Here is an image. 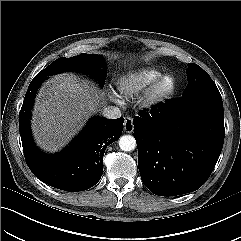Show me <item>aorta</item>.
<instances>
[{
    "instance_id": "1",
    "label": "aorta",
    "mask_w": 241,
    "mask_h": 241,
    "mask_svg": "<svg viewBox=\"0 0 241 241\" xmlns=\"http://www.w3.org/2000/svg\"><path fill=\"white\" fill-rule=\"evenodd\" d=\"M119 147L125 152L132 151L136 148V140L131 135H123L119 139Z\"/></svg>"
}]
</instances>
